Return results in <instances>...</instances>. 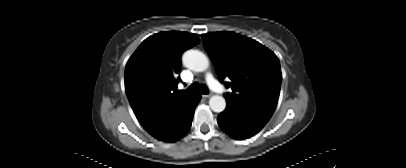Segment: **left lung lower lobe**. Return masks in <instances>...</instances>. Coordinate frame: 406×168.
I'll return each instance as SVG.
<instances>
[{"mask_svg":"<svg viewBox=\"0 0 406 168\" xmlns=\"http://www.w3.org/2000/svg\"><path fill=\"white\" fill-rule=\"evenodd\" d=\"M271 114L227 101L226 109L217 118L220 128L234 139H246L259 132Z\"/></svg>","mask_w":406,"mask_h":168,"instance_id":"0a47b994","label":"left lung lower lobe"}]
</instances>
